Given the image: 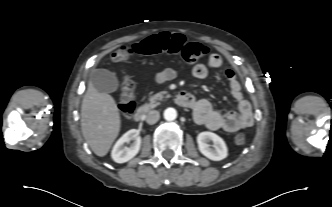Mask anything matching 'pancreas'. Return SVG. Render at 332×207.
<instances>
[{
	"mask_svg": "<svg viewBox=\"0 0 332 207\" xmlns=\"http://www.w3.org/2000/svg\"><path fill=\"white\" fill-rule=\"evenodd\" d=\"M170 97L169 94H167L166 91L159 92L157 94H154L149 97V102L146 103L145 105L148 106L149 108H155L157 105L160 104V101H162L164 98Z\"/></svg>",
	"mask_w": 332,
	"mask_h": 207,
	"instance_id": "pancreas-1",
	"label": "pancreas"
}]
</instances>
